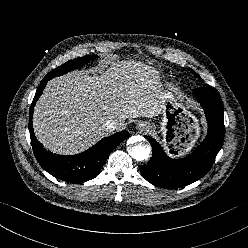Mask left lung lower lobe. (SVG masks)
I'll list each match as a JSON object with an SVG mask.
<instances>
[{
    "instance_id": "1",
    "label": "left lung lower lobe",
    "mask_w": 248,
    "mask_h": 248,
    "mask_svg": "<svg viewBox=\"0 0 248 248\" xmlns=\"http://www.w3.org/2000/svg\"><path fill=\"white\" fill-rule=\"evenodd\" d=\"M193 93L205 111L207 136L193 153L182 159L168 157L153 138L145 136L152 145L153 156L139 169L142 176L153 185L180 188L195 182L210 170L222 147L225 132L220 94L209 86L200 87Z\"/></svg>"
}]
</instances>
